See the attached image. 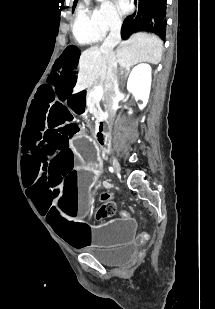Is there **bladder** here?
<instances>
[{"label":"bladder","instance_id":"1","mask_svg":"<svg viewBox=\"0 0 215 309\" xmlns=\"http://www.w3.org/2000/svg\"><path fill=\"white\" fill-rule=\"evenodd\" d=\"M135 247L132 244L125 245L113 252L97 255L100 262L109 266H123L132 261L135 256Z\"/></svg>","mask_w":215,"mask_h":309}]
</instances>
